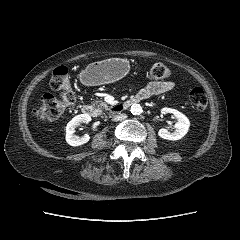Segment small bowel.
<instances>
[{"instance_id":"c3829d8e","label":"small bowel","mask_w":240,"mask_h":240,"mask_svg":"<svg viewBox=\"0 0 240 240\" xmlns=\"http://www.w3.org/2000/svg\"><path fill=\"white\" fill-rule=\"evenodd\" d=\"M175 84L172 81H152L139 91V95L145 98L160 95L173 90Z\"/></svg>"}]
</instances>
